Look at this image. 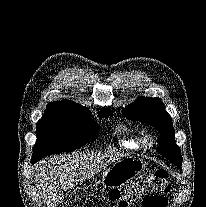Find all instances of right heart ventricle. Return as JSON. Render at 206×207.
Wrapping results in <instances>:
<instances>
[{
	"mask_svg": "<svg viewBox=\"0 0 206 207\" xmlns=\"http://www.w3.org/2000/svg\"><path fill=\"white\" fill-rule=\"evenodd\" d=\"M143 134L140 132H130L127 135L123 136L120 141L121 146L127 149L132 150H141L144 148V139Z\"/></svg>",
	"mask_w": 206,
	"mask_h": 207,
	"instance_id": "e07e8e85",
	"label": "right heart ventricle"
}]
</instances>
